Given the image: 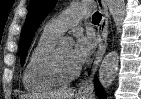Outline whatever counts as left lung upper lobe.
I'll list each match as a JSON object with an SVG mask.
<instances>
[{
	"instance_id": "1",
	"label": "left lung upper lobe",
	"mask_w": 141,
	"mask_h": 99,
	"mask_svg": "<svg viewBox=\"0 0 141 99\" xmlns=\"http://www.w3.org/2000/svg\"><path fill=\"white\" fill-rule=\"evenodd\" d=\"M57 0H31L28 15L20 37L21 64H24L26 53L31 44L34 32L54 8Z\"/></svg>"
}]
</instances>
